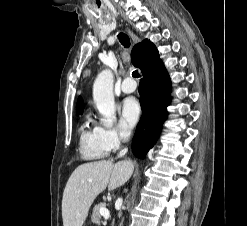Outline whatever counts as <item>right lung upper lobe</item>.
I'll return each instance as SVG.
<instances>
[{
	"mask_svg": "<svg viewBox=\"0 0 247 226\" xmlns=\"http://www.w3.org/2000/svg\"><path fill=\"white\" fill-rule=\"evenodd\" d=\"M154 47V44L147 39L135 45L131 53L133 65L139 67L142 71L146 67L147 62L150 59L151 49ZM76 109L78 114H82L84 103L81 96L78 98Z\"/></svg>",
	"mask_w": 247,
	"mask_h": 226,
	"instance_id": "1",
	"label": "right lung upper lobe"
}]
</instances>
